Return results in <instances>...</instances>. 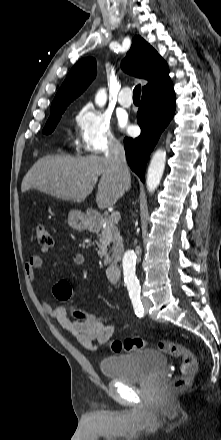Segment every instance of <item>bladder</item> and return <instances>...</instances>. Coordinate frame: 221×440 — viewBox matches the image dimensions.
I'll use <instances>...</instances> for the list:
<instances>
[{
    "label": "bladder",
    "instance_id": "bladder-1",
    "mask_svg": "<svg viewBox=\"0 0 221 440\" xmlns=\"http://www.w3.org/2000/svg\"><path fill=\"white\" fill-rule=\"evenodd\" d=\"M167 365L166 356L154 349H140L112 356L100 363L106 379L122 383L145 382L157 376Z\"/></svg>",
    "mask_w": 221,
    "mask_h": 440
}]
</instances>
